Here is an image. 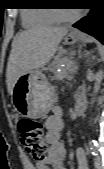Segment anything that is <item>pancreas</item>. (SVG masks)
Segmentation results:
<instances>
[{"mask_svg":"<svg viewBox=\"0 0 104 169\" xmlns=\"http://www.w3.org/2000/svg\"><path fill=\"white\" fill-rule=\"evenodd\" d=\"M62 64L63 66L61 67V72L55 73V77L57 79H63L75 71V64L72 60L64 58L60 61V65Z\"/></svg>","mask_w":104,"mask_h":169,"instance_id":"obj_1","label":"pancreas"}]
</instances>
